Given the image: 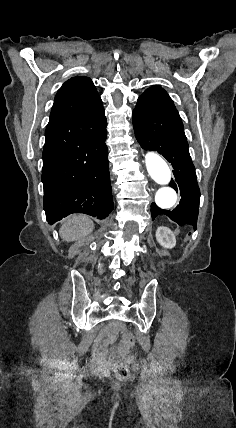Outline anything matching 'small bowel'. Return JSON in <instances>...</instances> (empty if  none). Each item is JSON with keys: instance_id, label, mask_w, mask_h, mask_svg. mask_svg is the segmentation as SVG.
Listing matches in <instances>:
<instances>
[{"instance_id": "c3829d8e", "label": "small bowel", "mask_w": 236, "mask_h": 428, "mask_svg": "<svg viewBox=\"0 0 236 428\" xmlns=\"http://www.w3.org/2000/svg\"><path fill=\"white\" fill-rule=\"evenodd\" d=\"M124 325L114 320L106 325L94 340L92 352L95 359L103 366H108L111 361L123 354L122 344H116L119 336L124 337Z\"/></svg>"}]
</instances>
